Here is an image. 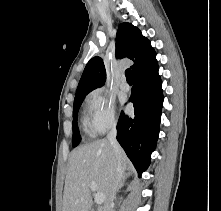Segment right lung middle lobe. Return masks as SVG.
I'll use <instances>...</instances> for the list:
<instances>
[{
	"label": "right lung middle lobe",
	"mask_w": 221,
	"mask_h": 211,
	"mask_svg": "<svg viewBox=\"0 0 221 211\" xmlns=\"http://www.w3.org/2000/svg\"><path fill=\"white\" fill-rule=\"evenodd\" d=\"M84 98H85V96L78 97V98L74 99V107H73V147H76L81 141V137H80V133H79V129H78V124H77V114H78V110H79L80 105H81Z\"/></svg>",
	"instance_id": "right-lung-middle-lobe-1"
}]
</instances>
